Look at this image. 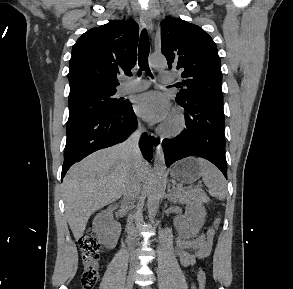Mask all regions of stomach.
Returning <instances> with one entry per match:
<instances>
[{
	"instance_id": "0dacf381",
	"label": "stomach",
	"mask_w": 293,
	"mask_h": 289,
	"mask_svg": "<svg viewBox=\"0 0 293 289\" xmlns=\"http://www.w3.org/2000/svg\"><path fill=\"white\" fill-rule=\"evenodd\" d=\"M171 176L180 183L192 184L202 176V170L197 159L189 157L175 163Z\"/></svg>"
}]
</instances>
